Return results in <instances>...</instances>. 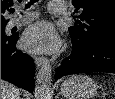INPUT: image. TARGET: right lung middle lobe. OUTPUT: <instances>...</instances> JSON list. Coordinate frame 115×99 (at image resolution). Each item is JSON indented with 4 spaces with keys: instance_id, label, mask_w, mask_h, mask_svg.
<instances>
[{
    "instance_id": "obj_1",
    "label": "right lung middle lobe",
    "mask_w": 115,
    "mask_h": 99,
    "mask_svg": "<svg viewBox=\"0 0 115 99\" xmlns=\"http://www.w3.org/2000/svg\"><path fill=\"white\" fill-rule=\"evenodd\" d=\"M5 26H6V23H1V37H5Z\"/></svg>"
}]
</instances>
